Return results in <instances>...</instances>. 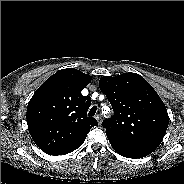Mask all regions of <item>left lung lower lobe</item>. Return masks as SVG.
<instances>
[{"label":"left lung lower lobe","mask_w":184,"mask_h":184,"mask_svg":"<svg viewBox=\"0 0 184 184\" xmlns=\"http://www.w3.org/2000/svg\"><path fill=\"white\" fill-rule=\"evenodd\" d=\"M113 149L120 155L127 158H142L149 155L147 152L128 146L114 139L108 138Z\"/></svg>","instance_id":"obj_1"}]
</instances>
